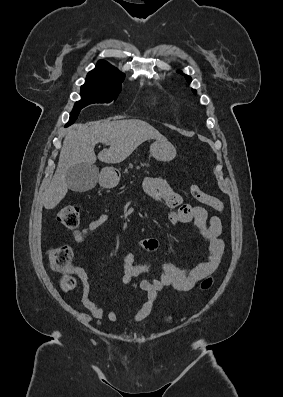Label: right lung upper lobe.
I'll use <instances>...</instances> for the list:
<instances>
[{"label": "right lung upper lobe", "mask_w": 283, "mask_h": 397, "mask_svg": "<svg viewBox=\"0 0 283 397\" xmlns=\"http://www.w3.org/2000/svg\"><path fill=\"white\" fill-rule=\"evenodd\" d=\"M125 75L104 60L98 61L96 68L90 71L86 80L122 81Z\"/></svg>", "instance_id": "right-lung-upper-lobe-1"}]
</instances>
